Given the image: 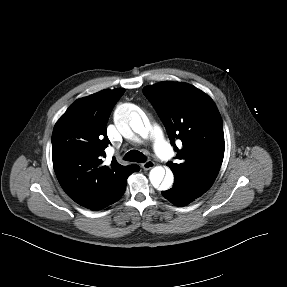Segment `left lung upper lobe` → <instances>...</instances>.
<instances>
[{"label":"left lung upper lobe","instance_id":"obj_1","mask_svg":"<svg viewBox=\"0 0 287 287\" xmlns=\"http://www.w3.org/2000/svg\"><path fill=\"white\" fill-rule=\"evenodd\" d=\"M164 123L177 163L167 165L175 178L205 193L215 181L224 157V133L213 100L196 87L179 82H161L143 89ZM182 141L178 149L175 140Z\"/></svg>","mask_w":287,"mask_h":287}]
</instances>
